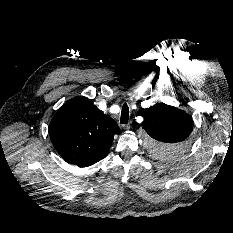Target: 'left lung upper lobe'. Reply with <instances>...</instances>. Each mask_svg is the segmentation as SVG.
Here are the masks:
<instances>
[{
  "label": "left lung upper lobe",
  "instance_id": "5c2ea615",
  "mask_svg": "<svg viewBox=\"0 0 233 233\" xmlns=\"http://www.w3.org/2000/svg\"><path fill=\"white\" fill-rule=\"evenodd\" d=\"M142 128L154 152L174 156L183 152L193 129L192 118L175 107L158 103L144 111Z\"/></svg>",
  "mask_w": 233,
  "mask_h": 233
}]
</instances>
